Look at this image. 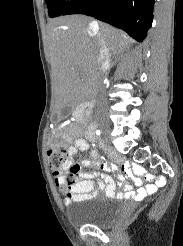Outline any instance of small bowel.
Listing matches in <instances>:
<instances>
[{"label":"small bowel","mask_w":183,"mask_h":246,"mask_svg":"<svg viewBox=\"0 0 183 246\" xmlns=\"http://www.w3.org/2000/svg\"><path fill=\"white\" fill-rule=\"evenodd\" d=\"M62 131V129H60ZM87 135V132H86ZM70 139L69 134H65ZM89 149L88 141L84 138L76 139L67 149V160L61 170L53 171L54 183L60 192L64 195L66 203L80 202L90 199L94 196L93 178H97L96 186L104 190L110 197H120L128 199L141 200L149 194L154 193L158 185H164V180H155L154 184L144 185V179H163V174H144L145 170L141 166L123 164L122 169L125 175L118 174V183L122 188H116L114 179L108 174L115 171L117 166L112 163L104 162L97 151H90V158H83L78 163H74L72 156L78 151H87ZM83 168H90L93 171L83 172ZM70 171H76L70 173ZM139 175L140 178H136ZM72 178V179H71ZM136 178V179H135ZM126 179H135L140 188L133 194L132 186Z\"/></svg>","instance_id":"1"}]
</instances>
